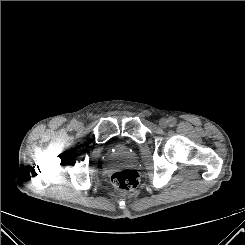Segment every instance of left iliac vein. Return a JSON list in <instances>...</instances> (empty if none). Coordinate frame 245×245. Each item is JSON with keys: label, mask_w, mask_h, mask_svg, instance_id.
<instances>
[{"label": "left iliac vein", "mask_w": 245, "mask_h": 245, "mask_svg": "<svg viewBox=\"0 0 245 245\" xmlns=\"http://www.w3.org/2000/svg\"><path fill=\"white\" fill-rule=\"evenodd\" d=\"M159 125H160V127H162V128H166V127L168 126V120H167L166 118L160 119Z\"/></svg>", "instance_id": "1"}]
</instances>
